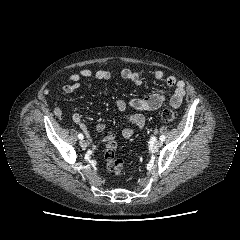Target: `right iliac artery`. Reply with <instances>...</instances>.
<instances>
[{
    "instance_id": "1",
    "label": "right iliac artery",
    "mask_w": 240,
    "mask_h": 240,
    "mask_svg": "<svg viewBox=\"0 0 240 240\" xmlns=\"http://www.w3.org/2000/svg\"><path fill=\"white\" fill-rule=\"evenodd\" d=\"M78 138L82 140V139L84 138L83 134H82V133H79V134H78Z\"/></svg>"
}]
</instances>
